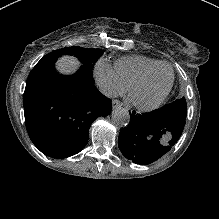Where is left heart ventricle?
Returning a JSON list of instances; mask_svg holds the SVG:
<instances>
[{"mask_svg":"<svg viewBox=\"0 0 219 219\" xmlns=\"http://www.w3.org/2000/svg\"><path fill=\"white\" fill-rule=\"evenodd\" d=\"M170 81V69L161 66L134 88L132 97L140 103L154 102L166 91Z\"/></svg>","mask_w":219,"mask_h":219,"instance_id":"1","label":"left heart ventricle"}]
</instances>
